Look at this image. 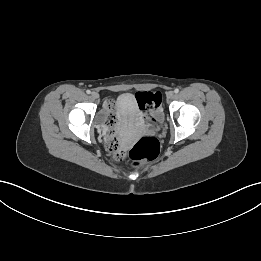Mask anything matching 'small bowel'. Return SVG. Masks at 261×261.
<instances>
[{"instance_id": "obj_1", "label": "small bowel", "mask_w": 261, "mask_h": 261, "mask_svg": "<svg viewBox=\"0 0 261 261\" xmlns=\"http://www.w3.org/2000/svg\"><path fill=\"white\" fill-rule=\"evenodd\" d=\"M141 93V92H140ZM159 107V106H158ZM141 117H144V118H146V112H143L142 110H141Z\"/></svg>"}]
</instances>
